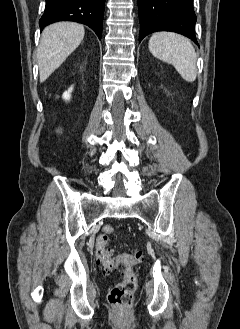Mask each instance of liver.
Listing matches in <instances>:
<instances>
[{
	"mask_svg": "<svg viewBox=\"0 0 240 329\" xmlns=\"http://www.w3.org/2000/svg\"><path fill=\"white\" fill-rule=\"evenodd\" d=\"M84 34V27L73 22L55 23L43 30L37 51L41 83L80 45Z\"/></svg>",
	"mask_w": 240,
	"mask_h": 329,
	"instance_id": "liver-1",
	"label": "liver"
}]
</instances>
